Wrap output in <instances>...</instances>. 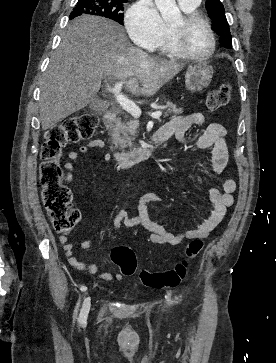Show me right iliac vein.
<instances>
[{
	"label": "right iliac vein",
	"instance_id": "63e3f726",
	"mask_svg": "<svg viewBox=\"0 0 276 363\" xmlns=\"http://www.w3.org/2000/svg\"><path fill=\"white\" fill-rule=\"evenodd\" d=\"M90 306H91V301H90V297H86L83 304H82V308L80 311V319L85 318L88 315V312L90 310Z\"/></svg>",
	"mask_w": 276,
	"mask_h": 363
}]
</instances>
